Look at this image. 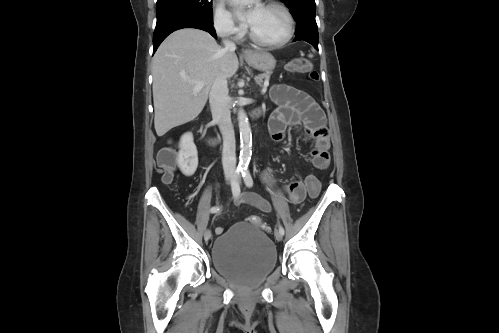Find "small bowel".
Masks as SVG:
<instances>
[{
	"label": "small bowel",
	"mask_w": 499,
	"mask_h": 333,
	"mask_svg": "<svg viewBox=\"0 0 499 333\" xmlns=\"http://www.w3.org/2000/svg\"><path fill=\"white\" fill-rule=\"evenodd\" d=\"M271 98L278 107L271 113L268 129L272 139L280 142L284 139L289 127L302 125L313 141L311 161L316 169L324 170L330 164V136L325 124V115L320 106L306 92L294 87L277 84L271 88ZM214 143V141H210ZM269 187L275 185V180L268 174L264 177ZM283 190L292 204H298L305 199L306 190L300 180L284 185ZM236 204H249L258 210L269 213L272 210L268 200L254 193L241 194L236 198ZM223 227H218L221 233Z\"/></svg>",
	"instance_id": "c3829d8e"
}]
</instances>
